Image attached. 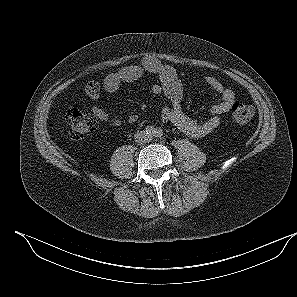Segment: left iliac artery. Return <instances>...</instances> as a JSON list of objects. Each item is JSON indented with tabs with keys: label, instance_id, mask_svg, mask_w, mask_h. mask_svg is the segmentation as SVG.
Returning <instances> with one entry per match:
<instances>
[{
	"label": "left iliac artery",
	"instance_id": "left-iliac-artery-1",
	"mask_svg": "<svg viewBox=\"0 0 297 297\" xmlns=\"http://www.w3.org/2000/svg\"><path fill=\"white\" fill-rule=\"evenodd\" d=\"M154 134H155L156 137H161L163 135V131H162V129L157 128L155 130V133Z\"/></svg>",
	"mask_w": 297,
	"mask_h": 297
}]
</instances>
